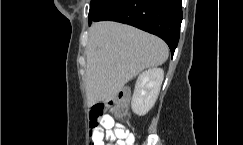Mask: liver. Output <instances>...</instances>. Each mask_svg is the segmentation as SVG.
I'll return each mask as SVG.
<instances>
[{
  "label": "liver",
  "instance_id": "1",
  "mask_svg": "<svg viewBox=\"0 0 243 145\" xmlns=\"http://www.w3.org/2000/svg\"><path fill=\"white\" fill-rule=\"evenodd\" d=\"M168 55L166 43L154 35L112 21L93 23L86 47L88 106L114 99L129 80L162 65Z\"/></svg>",
  "mask_w": 243,
  "mask_h": 145
}]
</instances>
